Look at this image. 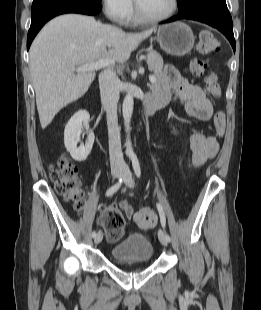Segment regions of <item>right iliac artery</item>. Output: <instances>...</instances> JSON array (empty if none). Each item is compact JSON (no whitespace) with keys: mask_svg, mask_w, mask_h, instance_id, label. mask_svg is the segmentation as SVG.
I'll use <instances>...</instances> for the list:
<instances>
[{"mask_svg":"<svg viewBox=\"0 0 261 310\" xmlns=\"http://www.w3.org/2000/svg\"><path fill=\"white\" fill-rule=\"evenodd\" d=\"M124 178H120V180L114 184L112 187H110L107 192H106V196H112L119 188L120 186L122 185V182H123ZM96 236V232L93 231L92 232V237H95Z\"/></svg>","mask_w":261,"mask_h":310,"instance_id":"right-iliac-artery-1","label":"right iliac artery"}]
</instances>
